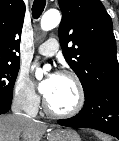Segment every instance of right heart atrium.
I'll return each instance as SVG.
<instances>
[{
  "label": "right heart atrium",
  "instance_id": "right-heart-atrium-1",
  "mask_svg": "<svg viewBox=\"0 0 119 141\" xmlns=\"http://www.w3.org/2000/svg\"><path fill=\"white\" fill-rule=\"evenodd\" d=\"M14 99L26 111L37 108L39 98L27 73L20 72L14 84Z\"/></svg>",
  "mask_w": 119,
  "mask_h": 141
}]
</instances>
